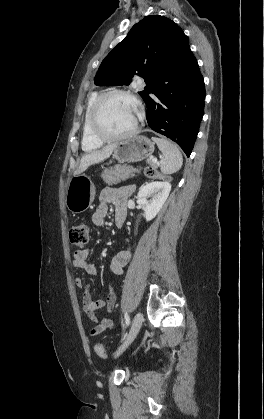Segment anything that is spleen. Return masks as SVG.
<instances>
[{"label": "spleen", "instance_id": "3e777b00", "mask_svg": "<svg viewBox=\"0 0 264 419\" xmlns=\"http://www.w3.org/2000/svg\"><path fill=\"white\" fill-rule=\"evenodd\" d=\"M153 141L162 153L161 172L165 175L177 172L183 164V157L178 146L164 138H153Z\"/></svg>", "mask_w": 264, "mask_h": 419}]
</instances>
